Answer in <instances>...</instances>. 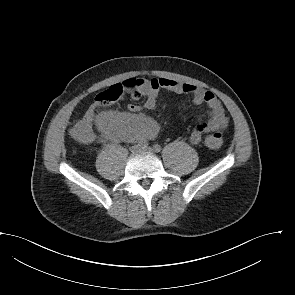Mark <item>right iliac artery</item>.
Wrapping results in <instances>:
<instances>
[{
	"label": "right iliac artery",
	"instance_id": "1",
	"mask_svg": "<svg viewBox=\"0 0 295 295\" xmlns=\"http://www.w3.org/2000/svg\"><path fill=\"white\" fill-rule=\"evenodd\" d=\"M148 144H147V142L146 141H142V142H140V146H143V147H145V146H147Z\"/></svg>",
	"mask_w": 295,
	"mask_h": 295
}]
</instances>
